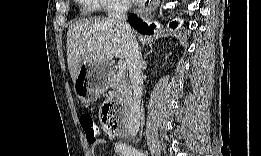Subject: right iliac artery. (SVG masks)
I'll list each match as a JSON object with an SVG mask.
<instances>
[{
  "label": "right iliac artery",
  "instance_id": "obj_1",
  "mask_svg": "<svg viewBox=\"0 0 261 156\" xmlns=\"http://www.w3.org/2000/svg\"><path fill=\"white\" fill-rule=\"evenodd\" d=\"M116 152H118L122 156H142L143 153L136 150L135 148L125 144V143H117L115 145Z\"/></svg>",
  "mask_w": 261,
  "mask_h": 156
}]
</instances>
